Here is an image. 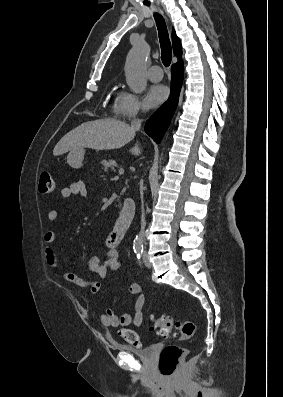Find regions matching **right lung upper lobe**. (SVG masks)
I'll return each mask as SVG.
<instances>
[{
  "mask_svg": "<svg viewBox=\"0 0 283 397\" xmlns=\"http://www.w3.org/2000/svg\"><path fill=\"white\" fill-rule=\"evenodd\" d=\"M172 41H173V50L174 54L178 57V61L182 60V47L179 38L176 36L175 31H172Z\"/></svg>",
  "mask_w": 283,
  "mask_h": 397,
  "instance_id": "right-lung-upper-lobe-1",
  "label": "right lung upper lobe"
}]
</instances>
